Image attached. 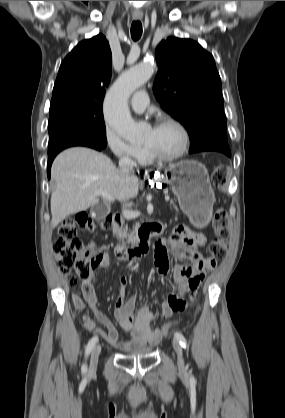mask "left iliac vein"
Returning <instances> with one entry per match:
<instances>
[{
    "label": "left iliac vein",
    "mask_w": 285,
    "mask_h": 418,
    "mask_svg": "<svg viewBox=\"0 0 285 418\" xmlns=\"http://www.w3.org/2000/svg\"><path fill=\"white\" fill-rule=\"evenodd\" d=\"M173 348L177 354V362L180 370H184V359H183V349L178 340L172 341Z\"/></svg>",
    "instance_id": "1"
}]
</instances>
